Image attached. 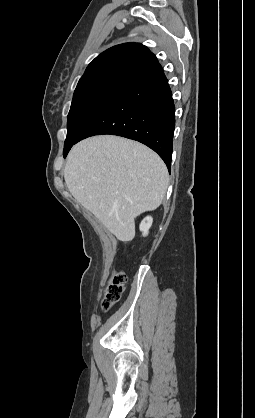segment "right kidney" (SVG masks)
Instances as JSON below:
<instances>
[{"label":"right kidney","instance_id":"1","mask_svg":"<svg viewBox=\"0 0 255 418\" xmlns=\"http://www.w3.org/2000/svg\"><path fill=\"white\" fill-rule=\"evenodd\" d=\"M153 219L151 216L144 218L140 224V231H142L143 236H146L149 232V229L152 225Z\"/></svg>","mask_w":255,"mask_h":418}]
</instances>
